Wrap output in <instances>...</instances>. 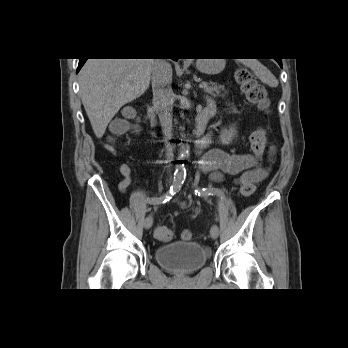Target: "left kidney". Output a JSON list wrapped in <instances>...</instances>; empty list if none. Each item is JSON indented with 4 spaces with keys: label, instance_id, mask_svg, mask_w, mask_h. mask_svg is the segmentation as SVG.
<instances>
[{
    "label": "left kidney",
    "instance_id": "obj_1",
    "mask_svg": "<svg viewBox=\"0 0 348 348\" xmlns=\"http://www.w3.org/2000/svg\"><path fill=\"white\" fill-rule=\"evenodd\" d=\"M236 135L237 131L234 126H230L228 129L224 128L220 132V141L222 144L228 145Z\"/></svg>",
    "mask_w": 348,
    "mask_h": 348
}]
</instances>
